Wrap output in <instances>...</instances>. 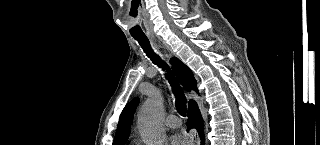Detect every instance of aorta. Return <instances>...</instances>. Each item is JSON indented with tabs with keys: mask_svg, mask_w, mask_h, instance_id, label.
<instances>
[{
	"mask_svg": "<svg viewBox=\"0 0 320 145\" xmlns=\"http://www.w3.org/2000/svg\"><path fill=\"white\" fill-rule=\"evenodd\" d=\"M163 110V101L158 95L149 98L141 108L138 129L146 145H162L164 142Z\"/></svg>",
	"mask_w": 320,
	"mask_h": 145,
	"instance_id": "aorta-1",
	"label": "aorta"
}]
</instances>
